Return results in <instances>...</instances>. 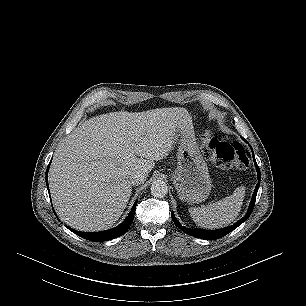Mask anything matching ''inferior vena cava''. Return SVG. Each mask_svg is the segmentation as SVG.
Segmentation results:
<instances>
[{
    "instance_id": "602c4592",
    "label": "inferior vena cava",
    "mask_w": 306,
    "mask_h": 306,
    "mask_svg": "<svg viewBox=\"0 0 306 306\" xmlns=\"http://www.w3.org/2000/svg\"><path fill=\"white\" fill-rule=\"evenodd\" d=\"M145 180H146L145 174L140 171H135L131 173L129 176V182L131 185H140L144 183Z\"/></svg>"
}]
</instances>
